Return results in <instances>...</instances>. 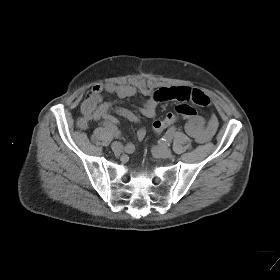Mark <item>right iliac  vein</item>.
Listing matches in <instances>:
<instances>
[{
	"label": "right iliac vein",
	"instance_id": "63e3f726",
	"mask_svg": "<svg viewBox=\"0 0 280 280\" xmlns=\"http://www.w3.org/2000/svg\"><path fill=\"white\" fill-rule=\"evenodd\" d=\"M111 149L114 153H120L123 150V145L120 142H113Z\"/></svg>",
	"mask_w": 280,
	"mask_h": 280
}]
</instances>
